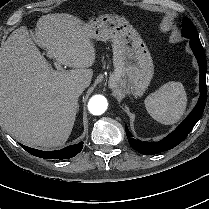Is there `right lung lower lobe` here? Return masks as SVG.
Listing matches in <instances>:
<instances>
[{"mask_svg":"<svg viewBox=\"0 0 209 209\" xmlns=\"http://www.w3.org/2000/svg\"><path fill=\"white\" fill-rule=\"evenodd\" d=\"M20 146L24 150H26L28 153L36 157H40L44 159H69V158L74 157L77 153L81 152L83 148V142L65 147L58 151H41V150L24 146L22 144H20Z\"/></svg>","mask_w":209,"mask_h":209,"instance_id":"1","label":"right lung lower lobe"}]
</instances>
